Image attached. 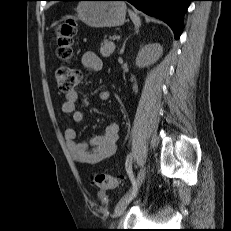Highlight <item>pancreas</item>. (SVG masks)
<instances>
[{
	"label": "pancreas",
	"instance_id": "obj_1",
	"mask_svg": "<svg viewBox=\"0 0 231 231\" xmlns=\"http://www.w3.org/2000/svg\"><path fill=\"white\" fill-rule=\"evenodd\" d=\"M115 50V45L112 41L105 39L101 43L100 53L104 57H109Z\"/></svg>",
	"mask_w": 231,
	"mask_h": 231
}]
</instances>
